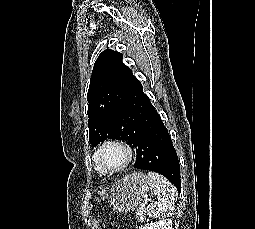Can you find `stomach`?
Segmentation results:
<instances>
[{"instance_id": "1", "label": "stomach", "mask_w": 255, "mask_h": 229, "mask_svg": "<svg viewBox=\"0 0 255 229\" xmlns=\"http://www.w3.org/2000/svg\"><path fill=\"white\" fill-rule=\"evenodd\" d=\"M149 180L142 172H134L115 182L110 191V206L117 212L138 208L149 190Z\"/></svg>"}]
</instances>
